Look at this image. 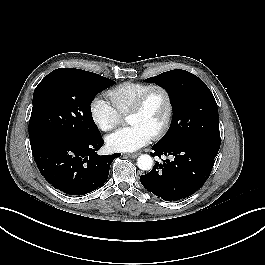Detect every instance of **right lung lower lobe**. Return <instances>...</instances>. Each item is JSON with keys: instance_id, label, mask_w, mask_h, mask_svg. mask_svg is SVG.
<instances>
[{"instance_id": "obj_1", "label": "right lung lower lobe", "mask_w": 265, "mask_h": 265, "mask_svg": "<svg viewBox=\"0 0 265 265\" xmlns=\"http://www.w3.org/2000/svg\"><path fill=\"white\" fill-rule=\"evenodd\" d=\"M101 134L88 139H60L31 145L44 178L69 195H84L100 188L108 178L111 162L121 154L97 155Z\"/></svg>"}]
</instances>
